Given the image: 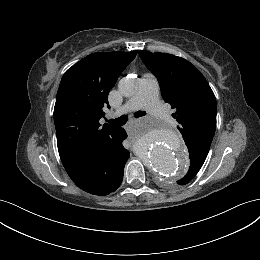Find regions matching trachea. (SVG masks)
Masks as SVG:
<instances>
[{
    "instance_id": "3493384b",
    "label": "trachea",
    "mask_w": 260,
    "mask_h": 260,
    "mask_svg": "<svg viewBox=\"0 0 260 260\" xmlns=\"http://www.w3.org/2000/svg\"><path fill=\"white\" fill-rule=\"evenodd\" d=\"M145 115H146L145 111H138V112L134 113V116L136 118H139V117H142ZM127 120H128V117L126 115H122L121 117H119L117 119L108 120V123L114 127H121L127 122Z\"/></svg>"
}]
</instances>
